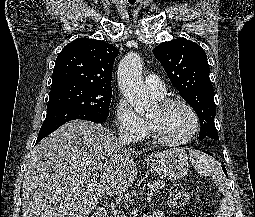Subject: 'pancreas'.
Here are the masks:
<instances>
[{
    "label": "pancreas",
    "instance_id": "obj_1",
    "mask_svg": "<svg viewBox=\"0 0 255 217\" xmlns=\"http://www.w3.org/2000/svg\"><path fill=\"white\" fill-rule=\"evenodd\" d=\"M154 188L158 193L160 190L164 189L166 186V182L163 180H155L153 182ZM112 217V216H110ZM113 217H126L121 210L114 211Z\"/></svg>",
    "mask_w": 255,
    "mask_h": 217
}]
</instances>
